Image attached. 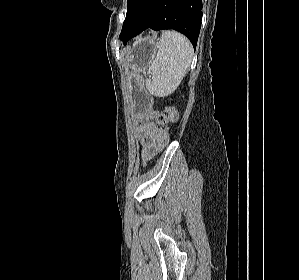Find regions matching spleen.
<instances>
[{"instance_id": "1", "label": "spleen", "mask_w": 299, "mask_h": 280, "mask_svg": "<svg viewBox=\"0 0 299 280\" xmlns=\"http://www.w3.org/2000/svg\"><path fill=\"white\" fill-rule=\"evenodd\" d=\"M193 53V47L185 36L175 31H164L156 57L148 69L152 78L145 81L150 94L156 97L172 94L185 76Z\"/></svg>"}]
</instances>
